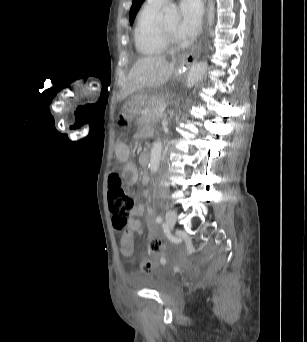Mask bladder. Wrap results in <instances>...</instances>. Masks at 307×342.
I'll list each match as a JSON object with an SVG mask.
<instances>
[{
  "mask_svg": "<svg viewBox=\"0 0 307 342\" xmlns=\"http://www.w3.org/2000/svg\"><path fill=\"white\" fill-rule=\"evenodd\" d=\"M143 286L160 294H166L175 288L176 282L170 274L161 269H157L147 276L143 282Z\"/></svg>",
  "mask_w": 307,
  "mask_h": 342,
  "instance_id": "obj_1",
  "label": "bladder"
}]
</instances>
